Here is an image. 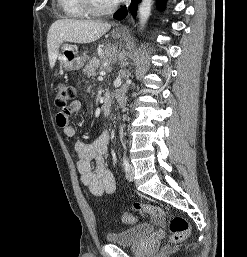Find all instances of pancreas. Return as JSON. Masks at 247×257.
I'll list each match as a JSON object with an SVG mask.
<instances>
[{
    "label": "pancreas",
    "instance_id": "obj_1",
    "mask_svg": "<svg viewBox=\"0 0 247 257\" xmlns=\"http://www.w3.org/2000/svg\"><path fill=\"white\" fill-rule=\"evenodd\" d=\"M105 53L102 54V59L96 57L92 58L89 63L83 69L84 75L87 77H92L96 74L98 69L107 70L109 69L108 65H104L105 62H109L111 59L106 58Z\"/></svg>",
    "mask_w": 247,
    "mask_h": 257
}]
</instances>
